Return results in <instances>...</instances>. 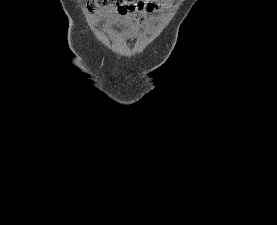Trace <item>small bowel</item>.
Returning a JSON list of instances; mask_svg holds the SVG:
<instances>
[{
	"label": "small bowel",
	"mask_w": 277,
	"mask_h": 225,
	"mask_svg": "<svg viewBox=\"0 0 277 225\" xmlns=\"http://www.w3.org/2000/svg\"><path fill=\"white\" fill-rule=\"evenodd\" d=\"M164 6H167V4H153L148 7H146V10L140 12V17L137 18L135 14H126L121 15L120 17H114L111 11H103L101 13V16L103 17H113L114 19L121 21L123 23H126L130 25V33H136L139 28L138 25H144L148 28H152L154 26V23L149 20L146 16L148 12H159L161 8Z\"/></svg>",
	"instance_id": "c3829d8e"
}]
</instances>
